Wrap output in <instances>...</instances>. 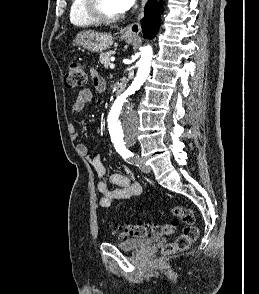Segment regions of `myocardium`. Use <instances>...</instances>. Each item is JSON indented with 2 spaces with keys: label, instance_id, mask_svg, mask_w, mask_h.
Here are the masks:
<instances>
[{
  "label": "myocardium",
  "instance_id": "myocardium-1",
  "mask_svg": "<svg viewBox=\"0 0 259 294\" xmlns=\"http://www.w3.org/2000/svg\"><path fill=\"white\" fill-rule=\"evenodd\" d=\"M100 0H85V11L96 23L109 24L120 20L124 13L115 16L105 14L99 6Z\"/></svg>",
  "mask_w": 259,
  "mask_h": 294
}]
</instances>
